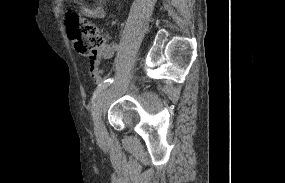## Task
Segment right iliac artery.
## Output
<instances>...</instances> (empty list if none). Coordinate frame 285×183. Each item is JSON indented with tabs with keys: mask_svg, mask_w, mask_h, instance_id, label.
I'll return each mask as SVG.
<instances>
[{
	"mask_svg": "<svg viewBox=\"0 0 285 183\" xmlns=\"http://www.w3.org/2000/svg\"><path fill=\"white\" fill-rule=\"evenodd\" d=\"M114 79L110 78L107 80H104L102 83H100L98 85V87L96 88V90L93 93V97H92V107L94 109L95 106V101L97 100V98L99 97L100 93L107 87L109 86L111 83H113ZM92 115H94V111H92Z\"/></svg>",
	"mask_w": 285,
	"mask_h": 183,
	"instance_id": "obj_1",
	"label": "right iliac artery"
}]
</instances>
